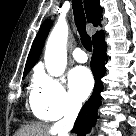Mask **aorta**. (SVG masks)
<instances>
[{"label":"aorta","instance_id":"obj_1","mask_svg":"<svg viewBox=\"0 0 136 136\" xmlns=\"http://www.w3.org/2000/svg\"><path fill=\"white\" fill-rule=\"evenodd\" d=\"M68 32L66 21L59 19L49 35L44 61L46 70L51 76L59 77L66 69Z\"/></svg>","mask_w":136,"mask_h":136}]
</instances>
